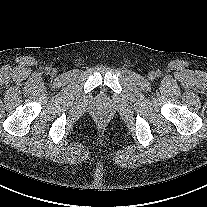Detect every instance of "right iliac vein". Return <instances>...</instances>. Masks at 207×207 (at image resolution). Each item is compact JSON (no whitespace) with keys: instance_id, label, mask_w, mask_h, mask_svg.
Wrapping results in <instances>:
<instances>
[{"instance_id":"right-iliac-vein-1","label":"right iliac vein","mask_w":207,"mask_h":207,"mask_svg":"<svg viewBox=\"0 0 207 207\" xmlns=\"http://www.w3.org/2000/svg\"><path fill=\"white\" fill-rule=\"evenodd\" d=\"M50 73H51L52 75H54V74L56 73V71H55V70H51Z\"/></svg>"}]
</instances>
